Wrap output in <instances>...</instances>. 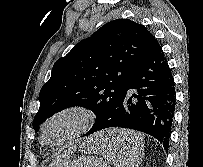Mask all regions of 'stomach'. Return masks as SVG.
I'll return each mask as SVG.
<instances>
[{"label": "stomach", "instance_id": "0dacf381", "mask_svg": "<svg viewBox=\"0 0 203 167\" xmlns=\"http://www.w3.org/2000/svg\"><path fill=\"white\" fill-rule=\"evenodd\" d=\"M116 130V129H113ZM112 131V130H108ZM108 131L100 133L94 140L93 143L105 142L108 140H101V138H106L108 136ZM96 144H94L95 146ZM94 147H91L89 151H93ZM68 167H106L101 159L92 157V156H82L68 164Z\"/></svg>", "mask_w": 203, "mask_h": 167}]
</instances>
